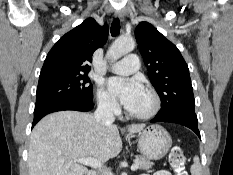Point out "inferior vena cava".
<instances>
[{
  "label": "inferior vena cava",
  "instance_id": "602c4592",
  "mask_svg": "<svg viewBox=\"0 0 233 175\" xmlns=\"http://www.w3.org/2000/svg\"><path fill=\"white\" fill-rule=\"evenodd\" d=\"M94 118L102 126L111 125L114 120L113 102L105 99L98 103V107L94 113ZM102 175H113L110 171L104 170Z\"/></svg>",
  "mask_w": 233,
  "mask_h": 175
}]
</instances>
